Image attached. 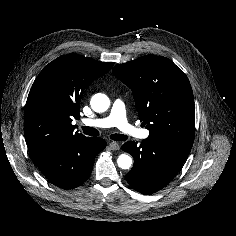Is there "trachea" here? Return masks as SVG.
<instances>
[{"mask_svg":"<svg viewBox=\"0 0 236 236\" xmlns=\"http://www.w3.org/2000/svg\"><path fill=\"white\" fill-rule=\"evenodd\" d=\"M82 130L84 132V134L89 135V136H98L99 132L97 129L92 128V127H82ZM110 138L114 141H125L128 139V136L123 135V134H111Z\"/></svg>","mask_w":236,"mask_h":236,"instance_id":"1","label":"trachea"}]
</instances>
